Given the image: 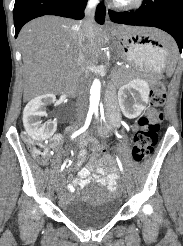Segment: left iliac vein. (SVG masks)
Returning a JSON list of instances; mask_svg holds the SVG:
<instances>
[{
  "label": "left iliac vein",
  "instance_id": "1",
  "mask_svg": "<svg viewBox=\"0 0 183 246\" xmlns=\"http://www.w3.org/2000/svg\"><path fill=\"white\" fill-rule=\"evenodd\" d=\"M122 191L124 194H126V192H127V184L125 181H123V183H122Z\"/></svg>",
  "mask_w": 183,
  "mask_h": 246
}]
</instances>
